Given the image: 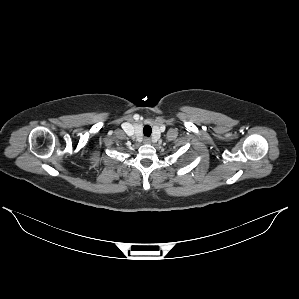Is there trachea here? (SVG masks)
Listing matches in <instances>:
<instances>
[{"label":"trachea","instance_id":"1","mask_svg":"<svg viewBox=\"0 0 299 299\" xmlns=\"http://www.w3.org/2000/svg\"><path fill=\"white\" fill-rule=\"evenodd\" d=\"M143 133L146 137H150L151 133H152V128L150 125H145L143 128Z\"/></svg>","mask_w":299,"mask_h":299}]
</instances>
